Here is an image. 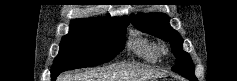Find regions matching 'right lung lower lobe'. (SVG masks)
<instances>
[{
	"label": "right lung lower lobe",
	"instance_id": "obj_1",
	"mask_svg": "<svg viewBox=\"0 0 237 81\" xmlns=\"http://www.w3.org/2000/svg\"><path fill=\"white\" fill-rule=\"evenodd\" d=\"M58 75H59V74L51 75V80H52V81H55V80H56V77H57Z\"/></svg>",
	"mask_w": 237,
	"mask_h": 81
}]
</instances>
